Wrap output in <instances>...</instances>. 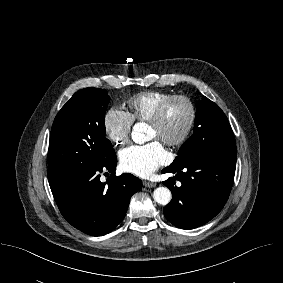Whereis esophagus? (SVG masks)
<instances>
[{"label": "esophagus", "mask_w": 283, "mask_h": 283, "mask_svg": "<svg viewBox=\"0 0 283 283\" xmlns=\"http://www.w3.org/2000/svg\"><path fill=\"white\" fill-rule=\"evenodd\" d=\"M143 185L145 186V187H149V188H152V187H155L156 186V184L155 183H153V182H150V181H143Z\"/></svg>", "instance_id": "esophagus-1"}]
</instances>
